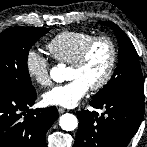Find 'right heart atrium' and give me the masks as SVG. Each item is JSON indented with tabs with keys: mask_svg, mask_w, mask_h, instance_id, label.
Segmentation results:
<instances>
[{
	"mask_svg": "<svg viewBox=\"0 0 147 147\" xmlns=\"http://www.w3.org/2000/svg\"><path fill=\"white\" fill-rule=\"evenodd\" d=\"M25 70L29 78L40 86H48L51 83L49 62L34 49L26 53Z\"/></svg>",
	"mask_w": 147,
	"mask_h": 147,
	"instance_id": "d8ad5b80",
	"label": "right heart atrium"
}]
</instances>
